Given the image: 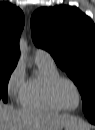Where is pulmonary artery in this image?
Instances as JSON below:
<instances>
[{"label": "pulmonary artery", "instance_id": "pulmonary-artery-1", "mask_svg": "<svg viewBox=\"0 0 95 130\" xmlns=\"http://www.w3.org/2000/svg\"><path fill=\"white\" fill-rule=\"evenodd\" d=\"M35 60L53 62L51 55L42 49H36L34 52Z\"/></svg>", "mask_w": 95, "mask_h": 130}]
</instances>
